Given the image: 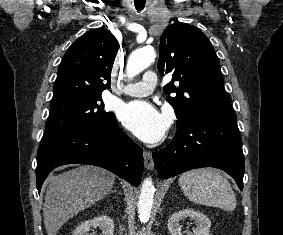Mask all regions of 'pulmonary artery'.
<instances>
[{"label":"pulmonary artery","instance_id":"1","mask_svg":"<svg viewBox=\"0 0 283 235\" xmlns=\"http://www.w3.org/2000/svg\"><path fill=\"white\" fill-rule=\"evenodd\" d=\"M156 83L157 75L152 71H148L143 75L141 81L125 86L122 92L128 96L144 97L153 92Z\"/></svg>","mask_w":283,"mask_h":235}]
</instances>
